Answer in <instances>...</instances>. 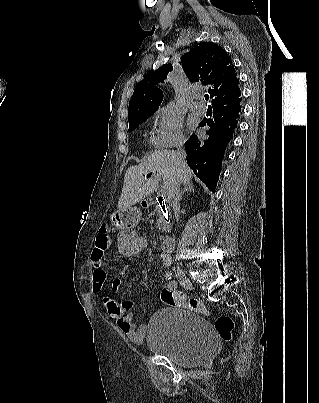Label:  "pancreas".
I'll return each mask as SVG.
<instances>
[{"instance_id":"pancreas-1","label":"pancreas","mask_w":319,"mask_h":403,"mask_svg":"<svg viewBox=\"0 0 319 403\" xmlns=\"http://www.w3.org/2000/svg\"><path fill=\"white\" fill-rule=\"evenodd\" d=\"M154 213L157 215V228L159 230L168 229V223L166 221V217L163 214L161 206L158 204L155 206Z\"/></svg>"}]
</instances>
